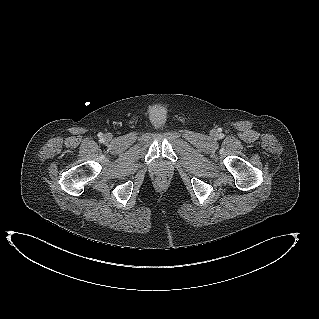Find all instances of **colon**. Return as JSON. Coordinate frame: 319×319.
I'll return each instance as SVG.
<instances>
[{
  "label": "colon",
  "mask_w": 319,
  "mask_h": 319,
  "mask_svg": "<svg viewBox=\"0 0 319 319\" xmlns=\"http://www.w3.org/2000/svg\"><path fill=\"white\" fill-rule=\"evenodd\" d=\"M156 181L158 184L163 185L166 183L167 179L165 176H159V177H157Z\"/></svg>",
  "instance_id": "obj_1"
}]
</instances>
